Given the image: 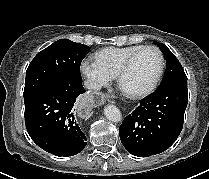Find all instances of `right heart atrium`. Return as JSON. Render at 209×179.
Returning a JSON list of instances; mask_svg holds the SVG:
<instances>
[{"instance_id":"obj_1","label":"right heart atrium","mask_w":209,"mask_h":179,"mask_svg":"<svg viewBox=\"0 0 209 179\" xmlns=\"http://www.w3.org/2000/svg\"><path fill=\"white\" fill-rule=\"evenodd\" d=\"M81 71L89 80L90 86L93 89H99L110 81V78L99 69L95 62L84 60L81 63Z\"/></svg>"}]
</instances>
